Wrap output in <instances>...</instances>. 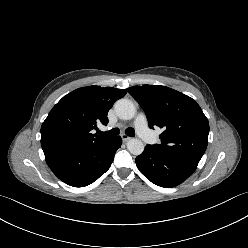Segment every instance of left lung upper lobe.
Wrapping results in <instances>:
<instances>
[{
  "instance_id": "obj_1",
  "label": "left lung upper lobe",
  "mask_w": 248,
  "mask_h": 248,
  "mask_svg": "<svg viewBox=\"0 0 248 248\" xmlns=\"http://www.w3.org/2000/svg\"><path fill=\"white\" fill-rule=\"evenodd\" d=\"M145 111L149 127L158 126L161 144L157 152L199 163L209 134V122L200 106L189 96L169 87L143 85L127 88Z\"/></svg>"
}]
</instances>
